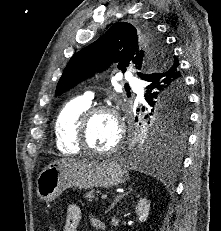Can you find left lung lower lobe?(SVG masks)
I'll list each match as a JSON object with an SVG mask.
<instances>
[{
	"instance_id": "1",
	"label": "left lung lower lobe",
	"mask_w": 221,
	"mask_h": 231,
	"mask_svg": "<svg viewBox=\"0 0 221 231\" xmlns=\"http://www.w3.org/2000/svg\"><path fill=\"white\" fill-rule=\"evenodd\" d=\"M177 62L178 60L175 57L170 58L163 68L142 77L143 80L148 82L145 91V100L147 103H153L155 100H159L161 108L165 110L175 105L177 98L173 97V91L180 88H184L185 90V81ZM182 143L183 142H168L159 136H152L147 146L135 151L134 157L140 161H148L155 159L158 154L165 149H171L177 153ZM174 159H176V157Z\"/></svg>"
}]
</instances>
